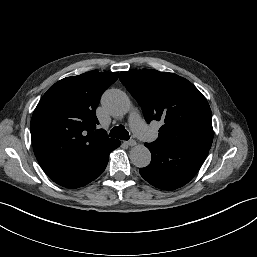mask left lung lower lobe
Instances as JSON below:
<instances>
[{
    "instance_id": "obj_1",
    "label": "left lung lower lobe",
    "mask_w": 257,
    "mask_h": 257,
    "mask_svg": "<svg viewBox=\"0 0 257 257\" xmlns=\"http://www.w3.org/2000/svg\"><path fill=\"white\" fill-rule=\"evenodd\" d=\"M151 151V163L139 170L153 186L173 190L188 183L199 171L209 151L204 147H161L145 143Z\"/></svg>"
}]
</instances>
